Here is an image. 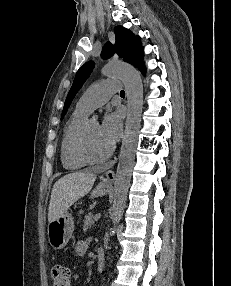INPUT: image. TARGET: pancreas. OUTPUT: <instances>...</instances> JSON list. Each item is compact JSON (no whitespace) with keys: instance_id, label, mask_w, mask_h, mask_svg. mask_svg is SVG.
I'll use <instances>...</instances> for the list:
<instances>
[{"instance_id":"1","label":"pancreas","mask_w":231,"mask_h":286,"mask_svg":"<svg viewBox=\"0 0 231 286\" xmlns=\"http://www.w3.org/2000/svg\"><path fill=\"white\" fill-rule=\"evenodd\" d=\"M94 225V215L92 213H89L85 216L84 222H83V230H87L91 228V226Z\"/></svg>"}]
</instances>
